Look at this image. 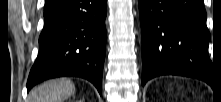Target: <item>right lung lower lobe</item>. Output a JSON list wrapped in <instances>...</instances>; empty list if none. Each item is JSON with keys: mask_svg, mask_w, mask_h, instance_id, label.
Here are the masks:
<instances>
[{"mask_svg": "<svg viewBox=\"0 0 221 102\" xmlns=\"http://www.w3.org/2000/svg\"><path fill=\"white\" fill-rule=\"evenodd\" d=\"M107 0H57L44 9L39 53L27 90L51 78L81 77L102 94Z\"/></svg>", "mask_w": 221, "mask_h": 102, "instance_id": "98d812e1", "label": "right lung lower lobe"}]
</instances>
